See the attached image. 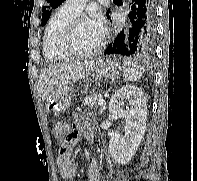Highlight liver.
<instances>
[{"label": "liver", "instance_id": "obj_1", "mask_svg": "<svg viewBox=\"0 0 197 181\" xmlns=\"http://www.w3.org/2000/svg\"><path fill=\"white\" fill-rule=\"evenodd\" d=\"M95 61L59 63L41 71L38 79V96L44 101L50 93L63 84L84 79L93 71Z\"/></svg>", "mask_w": 197, "mask_h": 181}]
</instances>
